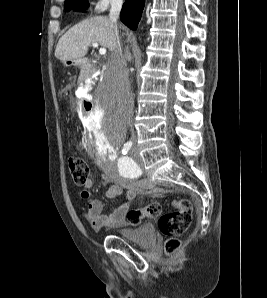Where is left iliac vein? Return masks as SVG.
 <instances>
[{
  "mask_svg": "<svg viewBox=\"0 0 267 298\" xmlns=\"http://www.w3.org/2000/svg\"><path fill=\"white\" fill-rule=\"evenodd\" d=\"M132 154L138 159V161L141 162V159H140L139 156H138V151H137L136 146H134V148H133V150H132Z\"/></svg>",
  "mask_w": 267,
  "mask_h": 298,
  "instance_id": "obj_1",
  "label": "left iliac vein"
}]
</instances>
